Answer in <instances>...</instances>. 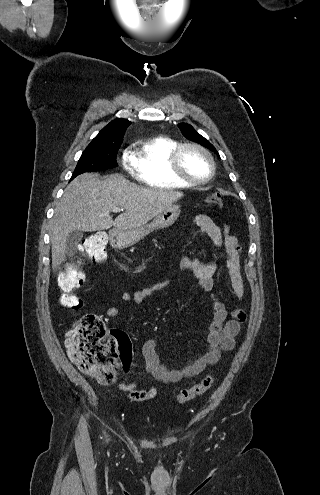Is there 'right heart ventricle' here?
<instances>
[{
  "label": "right heart ventricle",
  "mask_w": 320,
  "mask_h": 495,
  "mask_svg": "<svg viewBox=\"0 0 320 495\" xmlns=\"http://www.w3.org/2000/svg\"><path fill=\"white\" fill-rule=\"evenodd\" d=\"M178 142L165 136L146 139L133 155L136 178L153 188L178 189L190 185L177 178L170 167V155Z\"/></svg>",
  "instance_id": "e07e8e85"
}]
</instances>
